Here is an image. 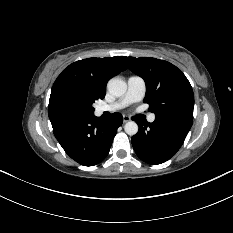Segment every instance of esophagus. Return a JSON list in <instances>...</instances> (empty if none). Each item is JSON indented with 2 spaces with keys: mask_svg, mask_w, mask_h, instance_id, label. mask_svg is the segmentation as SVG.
I'll use <instances>...</instances> for the list:
<instances>
[{
  "mask_svg": "<svg viewBox=\"0 0 233 233\" xmlns=\"http://www.w3.org/2000/svg\"><path fill=\"white\" fill-rule=\"evenodd\" d=\"M130 120H131L130 116H128V115H123V122H124V123H126V122H128V121H130Z\"/></svg>",
  "mask_w": 233,
  "mask_h": 233,
  "instance_id": "34e87169",
  "label": "esophagus"
}]
</instances>
